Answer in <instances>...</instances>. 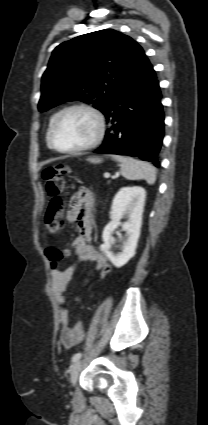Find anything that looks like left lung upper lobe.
I'll return each mask as SVG.
<instances>
[{
    "mask_svg": "<svg viewBox=\"0 0 208 425\" xmlns=\"http://www.w3.org/2000/svg\"><path fill=\"white\" fill-rule=\"evenodd\" d=\"M145 59L135 40L113 29L63 42L53 50L42 76L38 109L80 100L104 112Z\"/></svg>",
    "mask_w": 208,
    "mask_h": 425,
    "instance_id": "obj_1",
    "label": "left lung upper lobe"
}]
</instances>
